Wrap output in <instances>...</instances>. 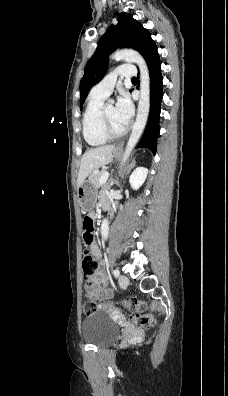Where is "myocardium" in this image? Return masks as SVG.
I'll use <instances>...</instances> for the list:
<instances>
[{
  "label": "myocardium",
  "mask_w": 228,
  "mask_h": 396,
  "mask_svg": "<svg viewBox=\"0 0 228 396\" xmlns=\"http://www.w3.org/2000/svg\"><path fill=\"white\" fill-rule=\"evenodd\" d=\"M106 105L102 107L101 113H100V121H101V128L103 134L108 138V139H116V138H121L123 137L127 131L128 128L125 126L122 130L120 131H115L111 128L107 115H106Z\"/></svg>",
  "instance_id": "myocardium-1"
}]
</instances>
